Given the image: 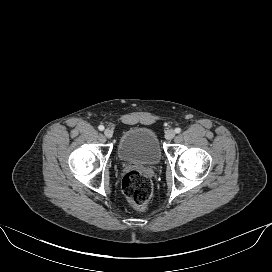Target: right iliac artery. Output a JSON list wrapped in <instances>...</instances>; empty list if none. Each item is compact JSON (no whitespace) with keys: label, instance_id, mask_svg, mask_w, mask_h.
Instances as JSON below:
<instances>
[{"label":"right iliac artery","instance_id":"1","mask_svg":"<svg viewBox=\"0 0 272 272\" xmlns=\"http://www.w3.org/2000/svg\"><path fill=\"white\" fill-rule=\"evenodd\" d=\"M98 129H99L100 131H103V130H104V126H103V125H100V126L98 127Z\"/></svg>","mask_w":272,"mask_h":272}]
</instances>
